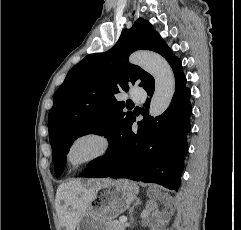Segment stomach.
I'll use <instances>...</instances> for the list:
<instances>
[{"label":"stomach","instance_id":"obj_1","mask_svg":"<svg viewBox=\"0 0 241 230\" xmlns=\"http://www.w3.org/2000/svg\"><path fill=\"white\" fill-rule=\"evenodd\" d=\"M138 187L128 180L99 182L76 230H110L109 223L136 199Z\"/></svg>","mask_w":241,"mask_h":230}]
</instances>
